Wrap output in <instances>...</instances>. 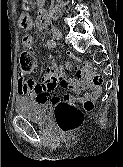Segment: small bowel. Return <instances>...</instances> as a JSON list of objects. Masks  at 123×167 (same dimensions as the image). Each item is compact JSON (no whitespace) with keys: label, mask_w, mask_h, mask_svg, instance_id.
<instances>
[{"label":"small bowel","mask_w":123,"mask_h":167,"mask_svg":"<svg viewBox=\"0 0 123 167\" xmlns=\"http://www.w3.org/2000/svg\"><path fill=\"white\" fill-rule=\"evenodd\" d=\"M20 4L23 5V8H26V1H20ZM22 25L28 29L31 27L30 23L27 24L26 19L22 21ZM23 45L27 50L31 51L33 49V38L30 33L24 35ZM48 61L49 66L47 67V72L42 83H36L34 80L25 79L23 77L19 78L18 93L20 95L29 96L37 101H48L52 104H58L60 103V99L53 94L57 84L68 87L78 94L85 88L92 89V93L85 96L66 95L64 101L72 104L76 102L82 103L90 99H97L101 94V88L93 85L88 78H67L60 72L54 57L49 56Z\"/></svg>","instance_id":"small-bowel-1"}]
</instances>
